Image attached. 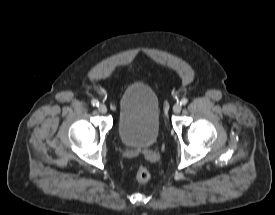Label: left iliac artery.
Segmentation results:
<instances>
[{"instance_id":"left-iliac-artery-1","label":"left iliac artery","mask_w":275,"mask_h":215,"mask_svg":"<svg viewBox=\"0 0 275 215\" xmlns=\"http://www.w3.org/2000/svg\"><path fill=\"white\" fill-rule=\"evenodd\" d=\"M188 103V99L187 98H183V99H181V101H180V104L181 105H186Z\"/></svg>"}]
</instances>
